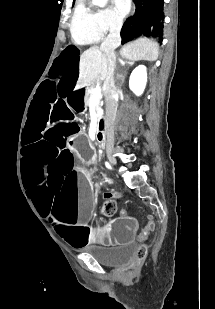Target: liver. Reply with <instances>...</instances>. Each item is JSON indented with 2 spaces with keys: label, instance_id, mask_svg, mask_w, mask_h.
<instances>
[{
  "label": "liver",
  "instance_id": "obj_1",
  "mask_svg": "<svg viewBox=\"0 0 215 309\" xmlns=\"http://www.w3.org/2000/svg\"><path fill=\"white\" fill-rule=\"evenodd\" d=\"M120 54L129 60H156L159 56V44L152 38H136L128 44H123ZM108 70L106 52L99 46H90L80 54L79 76L74 90L90 86L95 80H104Z\"/></svg>",
  "mask_w": 215,
  "mask_h": 309
}]
</instances>
